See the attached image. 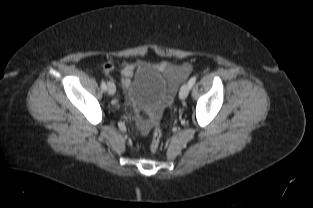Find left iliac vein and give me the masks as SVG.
I'll use <instances>...</instances> for the list:
<instances>
[{"label":"left iliac vein","instance_id":"left-iliac-vein-1","mask_svg":"<svg viewBox=\"0 0 313 208\" xmlns=\"http://www.w3.org/2000/svg\"><path fill=\"white\" fill-rule=\"evenodd\" d=\"M189 91H190V86H189V84H188V83L184 84V85L181 87L180 91H179V98H180L181 100L186 99V97H187L188 94H189Z\"/></svg>","mask_w":313,"mask_h":208}]
</instances>
